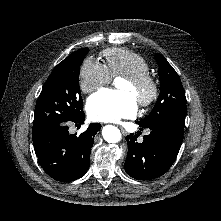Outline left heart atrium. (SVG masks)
Instances as JSON below:
<instances>
[{
    "label": "left heart atrium",
    "mask_w": 221,
    "mask_h": 221,
    "mask_svg": "<svg viewBox=\"0 0 221 221\" xmlns=\"http://www.w3.org/2000/svg\"><path fill=\"white\" fill-rule=\"evenodd\" d=\"M86 110L94 121L117 122L136 114L137 100L126 91L103 89L88 98Z\"/></svg>",
    "instance_id": "39dd6f15"
}]
</instances>
